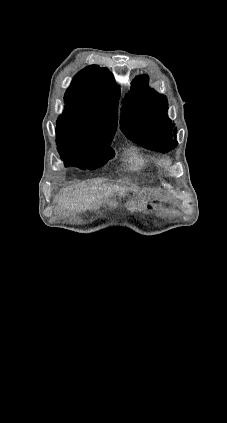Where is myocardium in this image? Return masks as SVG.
Segmentation results:
<instances>
[{
  "label": "myocardium",
  "mask_w": 227,
  "mask_h": 423,
  "mask_svg": "<svg viewBox=\"0 0 227 423\" xmlns=\"http://www.w3.org/2000/svg\"><path fill=\"white\" fill-rule=\"evenodd\" d=\"M163 164H164V166H168L169 161L168 160H164Z\"/></svg>",
  "instance_id": "myocardium-1"
}]
</instances>
